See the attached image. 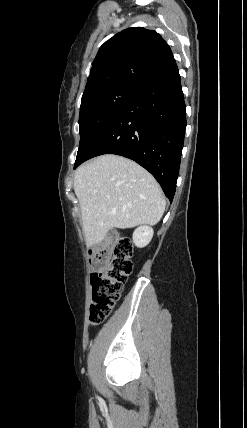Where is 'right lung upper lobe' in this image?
Listing matches in <instances>:
<instances>
[{
    "label": "right lung upper lobe",
    "instance_id": "right-lung-upper-lobe-1",
    "mask_svg": "<svg viewBox=\"0 0 247 428\" xmlns=\"http://www.w3.org/2000/svg\"><path fill=\"white\" fill-rule=\"evenodd\" d=\"M174 65L169 45L156 31L129 28L100 47L83 95L114 86L141 91Z\"/></svg>",
    "mask_w": 247,
    "mask_h": 428
}]
</instances>
